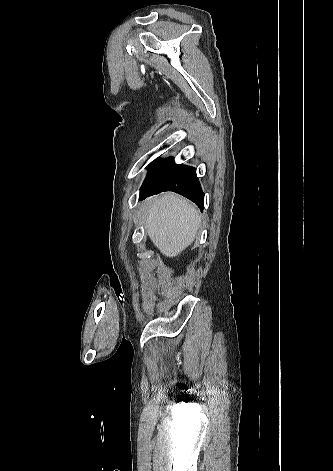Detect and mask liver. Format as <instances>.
<instances>
[{
    "label": "liver",
    "mask_w": 333,
    "mask_h": 471,
    "mask_svg": "<svg viewBox=\"0 0 333 471\" xmlns=\"http://www.w3.org/2000/svg\"><path fill=\"white\" fill-rule=\"evenodd\" d=\"M144 215L149 238L171 258L192 244L201 225L195 206L174 193L149 199Z\"/></svg>",
    "instance_id": "obj_1"
}]
</instances>
